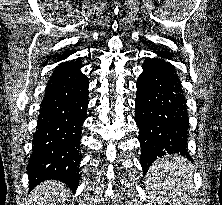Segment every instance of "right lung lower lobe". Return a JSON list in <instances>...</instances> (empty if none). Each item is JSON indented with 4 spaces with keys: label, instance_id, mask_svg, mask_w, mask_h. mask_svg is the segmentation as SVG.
<instances>
[{
    "label": "right lung lower lobe",
    "instance_id": "obj_1",
    "mask_svg": "<svg viewBox=\"0 0 222 205\" xmlns=\"http://www.w3.org/2000/svg\"><path fill=\"white\" fill-rule=\"evenodd\" d=\"M89 81L80 68L51 76L41 103L33 152L27 166L29 187L45 180L79 183L81 129L86 117Z\"/></svg>",
    "mask_w": 222,
    "mask_h": 205
}]
</instances>
